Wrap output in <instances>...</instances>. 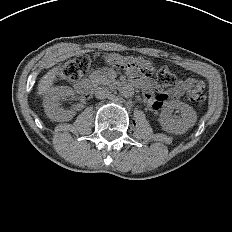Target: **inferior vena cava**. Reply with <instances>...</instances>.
Listing matches in <instances>:
<instances>
[{"label":"inferior vena cava","instance_id":"obj_1","mask_svg":"<svg viewBox=\"0 0 232 232\" xmlns=\"http://www.w3.org/2000/svg\"><path fill=\"white\" fill-rule=\"evenodd\" d=\"M95 96L98 99H106L110 96V92L107 88L99 86L95 89Z\"/></svg>","mask_w":232,"mask_h":232}]
</instances>
